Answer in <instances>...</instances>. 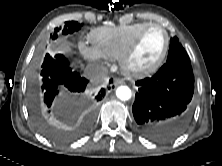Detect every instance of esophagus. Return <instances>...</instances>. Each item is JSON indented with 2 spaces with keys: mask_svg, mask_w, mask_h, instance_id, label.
Wrapping results in <instances>:
<instances>
[{
  "mask_svg": "<svg viewBox=\"0 0 222 166\" xmlns=\"http://www.w3.org/2000/svg\"><path fill=\"white\" fill-rule=\"evenodd\" d=\"M113 81H114L115 86H118V85H121V84L124 83V81L122 79H119V78H114Z\"/></svg>",
  "mask_w": 222,
  "mask_h": 166,
  "instance_id": "34e87169",
  "label": "esophagus"
}]
</instances>
